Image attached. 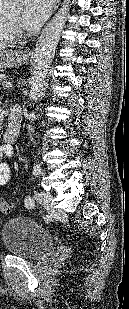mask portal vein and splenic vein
I'll return each instance as SVG.
<instances>
[{"mask_svg":"<svg viewBox=\"0 0 129 309\" xmlns=\"http://www.w3.org/2000/svg\"><path fill=\"white\" fill-rule=\"evenodd\" d=\"M3 86L10 87V83L9 82H4Z\"/></svg>","mask_w":129,"mask_h":309,"instance_id":"obj_1","label":"portal vein and splenic vein"}]
</instances>
